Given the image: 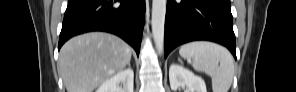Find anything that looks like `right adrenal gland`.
<instances>
[{
  "label": "right adrenal gland",
  "instance_id": "2a0ac1e0",
  "mask_svg": "<svg viewBox=\"0 0 296 92\" xmlns=\"http://www.w3.org/2000/svg\"><path fill=\"white\" fill-rule=\"evenodd\" d=\"M127 65H128V67H129V68H131L130 62H128V64H127Z\"/></svg>",
  "mask_w": 296,
  "mask_h": 92
}]
</instances>
